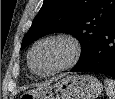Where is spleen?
<instances>
[{
  "mask_svg": "<svg viewBox=\"0 0 115 99\" xmlns=\"http://www.w3.org/2000/svg\"><path fill=\"white\" fill-rule=\"evenodd\" d=\"M104 83L109 99H115V80L106 78Z\"/></svg>",
  "mask_w": 115,
  "mask_h": 99,
  "instance_id": "obj_1",
  "label": "spleen"
}]
</instances>
